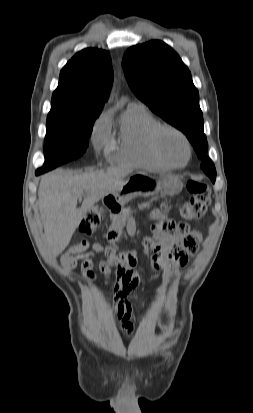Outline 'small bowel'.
<instances>
[{
    "instance_id": "obj_1",
    "label": "small bowel",
    "mask_w": 253,
    "mask_h": 413,
    "mask_svg": "<svg viewBox=\"0 0 253 413\" xmlns=\"http://www.w3.org/2000/svg\"><path fill=\"white\" fill-rule=\"evenodd\" d=\"M154 238L146 240L144 252L154 250L151 265L162 271V283L166 286L173 274L184 266L189 256L194 253L202 240L199 231L191 229L186 223H176L167 214H156L153 225ZM105 255L98 263L99 271L108 279L113 267L117 268V281L114 288L115 314L121 328L128 335L133 331L131 323L132 307L128 295L140 284L141 278L134 270L136 252L116 254L113 248L99 242L90 245L82 241L69 248L62 256V266L71 271L80 265L81 271L88 279L94 278L93 268L97 255Z\"/></svg>"
}]
</instances>
